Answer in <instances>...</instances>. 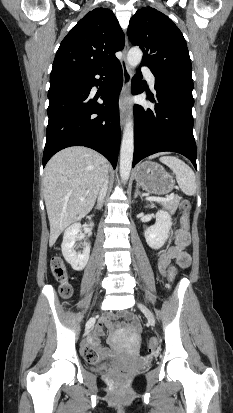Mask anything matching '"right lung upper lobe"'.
Masks as SVG:
<instances>
[{
	"instance_id": "obj_1",
	"label": "right lung upper lobe",
	"mask_w": 233,
	"mask_h": 413,
	"mask_svg": "<svg viewBox=\"0 0 233 413\" xmlns=\"http://www.w3.org/2000/svg\"><path fill=\"white\" fill-rule=\"evenodd\" d=\"M124 35L113 12L96 8L65 36L56 53L50 79L81 74L117 60Z\"/></svg>"
}]
</instances>
